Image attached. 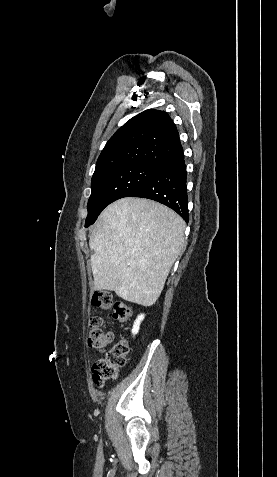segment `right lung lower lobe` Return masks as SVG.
I'll use <instances>...</instances> for the list:
<instances>
[{"label": "right lung lower lobe", "mask_w": 277, "mask_h": 477, "mask_svg": "<svg viewBox=\"0 0 277 477\" xmlns=\"http://www.w3.org/2000/svg\"><path fill=\"white\" fill-rule=\"evenodd\" d=\"M186 178L182 150L158 166L155 173L127 197L148 198L160 202L172 208L188 222Z\"/></svg>", "instance_id": "obj_1"}]
</instances>
